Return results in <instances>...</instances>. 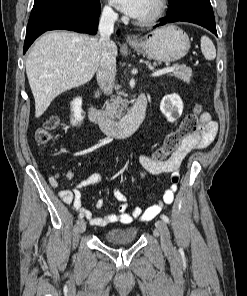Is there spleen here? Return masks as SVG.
<instances>
[{
    "mask_svg": "<svg viewBox=\"0 0 247 296\" xmlns=\"http://www.w3.org/2000/svg\"><path fill=\"white\" fill-rule=\"evenodd\" d=\"M201 51L207 60H214L216 57V49L209 37H201Z\"/></svg>",
    "mask_w": 247,
    "mask_h": 296,
    "instance_id": "spleen-1",
    "label": "spleen"
}]
</instances>
